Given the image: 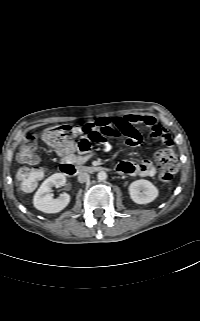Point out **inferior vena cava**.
<instances>
[{
	"label": "inferior vena cava",
	"instance_id": "inferior-vena-cava-1",
	"mask_svg": "<svg viewBox=\"0 0 200 321\" xmlns=\"http://www.w3.org/2000/svg\"><path fill=\"white\" fill-rule=\"evenodd\" d=\"M89 179H90V175L88 173H86V172H81L78 175V181L80 183L87 182V181H89Z\"/></svg>",
	"mask_w": 200,
	"mask_h": 321
}]
</instances>
